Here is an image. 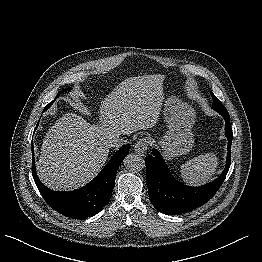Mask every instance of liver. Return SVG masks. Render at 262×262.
Returning <instances> with one entry per match:
<instances>
[{
  "mask_svg": "<svg viewBox=\"0 0 262 262\" xmlns=\"http://www.w3.org/2000/svg\"><path fill=\"white\" fill-rule=\"evenodd\" d=\"M164 79V75L153 74L122 81L101 101L100 126L75 113L64 114L43 141L37 162L40 180L55 190H73L93 179L108 158L110 138L157 123Z\"/></svg>",
  "mask_w": 262,
  "mask_h": 262,
  "instance_id": "1",
  "label": "liver"
}]
</instances>
